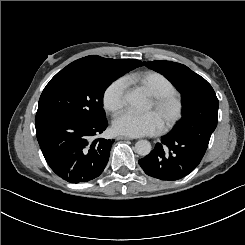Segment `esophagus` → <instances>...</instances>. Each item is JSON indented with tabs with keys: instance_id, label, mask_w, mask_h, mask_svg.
<instances>
[{
	"instance_id": "34e87169",
	"label": "esophagus",
	"mask_w": 245,
	"mask_h": 245,
	"mask_svg": "<svg viewBox=\"0 0 245 245\" xmlns=\"http://www.w3.org/2000/svg\"><path fill=\"white\" fill-rule=\"evenodd\" d=\"M117 140H133L134 138L128 136H117Z\"/></svg>"
}]
</instances>
